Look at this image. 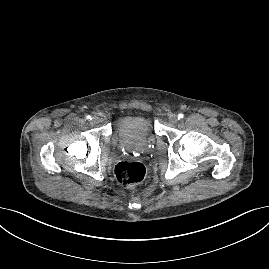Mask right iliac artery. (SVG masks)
Listing matches in <instances>:
<instances>
[{"label":"right iliac artery","mask_w":269,"mask_h":269,"mask_svg":"<svg viewBox=\"0 0 269 269\" xmlns=\"http://www.w3.org/2000/svg\"><path fill=\"white\" fill-rule=\"evenodd\" d=\"M86 119H87V120H91L92 118H91L90 115H88V116H86Z\"/></svg>","instance_id":"right-iliac-artery-1"}]
</instances>
